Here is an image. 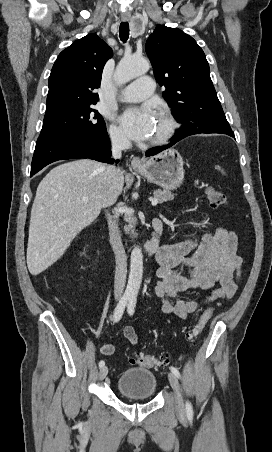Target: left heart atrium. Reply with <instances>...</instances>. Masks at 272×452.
Here are the masks:
<instances>
[{"label": "left heart atrium", "mask_w": 272, "mask_h": 452, "mask_svg": "<svg viewBox=\"0 0 272 452\" xmlns=\"http://www.w3.org/2000/svg\"><path fill=\"white\" fill-rule=\"evenodd\" d=\"M154 116L150 107L129 108L120 116V123L129 137L135 140L150 138Z\"/></svg>", "instance_id": "1"}]
</instances>
